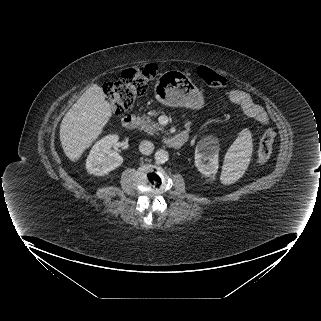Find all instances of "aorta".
I'll return each instance as SVG.
<instances>
[{"label": "aorta", "instance_id": "1", "mask_svg": "<svg viewBox=\"0 0 321 321\" xmlns=\"http://www.w3.org/2000/svg\"><path fill=\"white\" fill-rule=\"evenodd\" d=\"M154 158L157 163H165L166 161H168L169 154L164 149H158L154 154Z\"/></svg>", "mask_w": 321, "mask_h": 321}]
</instances>
